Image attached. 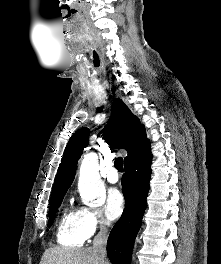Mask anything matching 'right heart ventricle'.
Returning <instances> with one entry per match:
<instances>
[{"instance_id": "e07e8e85", "label": "right heart ventricle", "mask_w": 221, "mask_h": 264, "mask_svg": "<svg viewBox=\"0 0 221 264\" xmlns=\"http://www.w3.org/2000/svg\"><path fill=\"white\" fill-rule=\"evenodd\" d=\"M57 242L62 246L79 247L82 246L87 237L85 236L78 209L65 208L59 220Z\"/></svg>"}]
</instances>
